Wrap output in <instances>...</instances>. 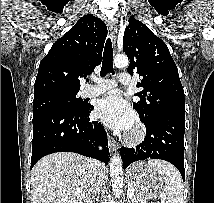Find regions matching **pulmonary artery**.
<instances>
[{
    "mask_svg": "<svg viewBox=\"0 0 214 203\" xmlns=\"http://www.w3.org/2000/svg\"><path fill=\"white\" fill-rule=\"evenodd\" d=\"M118 81L122 85H130L132 83L130 74L121 73L118 77ZM117 86L116 80H101L97 83V85H90L84 90V96H98L100 94L105 93Z\"/></svg>",
    "mask_w": 214,
    "mask_h": 203,
    "instance_id": "e3ab8cb5",
    "label": "pulmonary artery"
}]
</instances>
